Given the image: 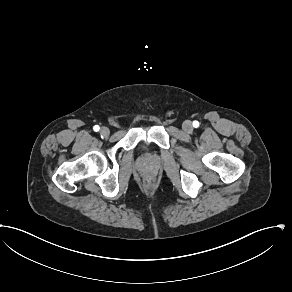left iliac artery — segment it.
<instances>
[{
	"mask_svg": "<svg viewBox=\"0 0 292 292\" xmlns=\"http://www.w3.org/2000/svg\"><path fill=\"white\" fill-rule=\"evenodd\" d=\"M193 126H194L195 128H197V127L199 126V122H198V121H194V122H193Z\"/></svg>",
	"mask_w": 292,
	"mask_h": 292,
	"instance_id": "1",
	"label": "left iliac artery"
}]
</instances>
